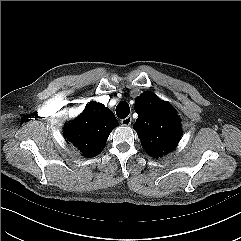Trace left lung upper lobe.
<instances>
[{
  "label": "left lung upper lobe",
  "instance_id": "5c2ea615",
  "mask_svg": "<svg viewBox=\"0 0 241 241\" xmlns=\"http://www.w3.org/2000/svg\"><path fill=\"white\" fill-rule=\"evenodd\" d=\"M138 118L134 128L143 148L153 157L172 151L181 137L180 119L174 108L151 92L135 99Z\"/></svg>",
  "mask_w": 241,
  "mask_h": 241
}]
</instances>
